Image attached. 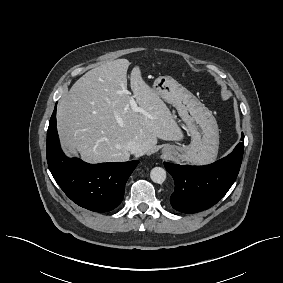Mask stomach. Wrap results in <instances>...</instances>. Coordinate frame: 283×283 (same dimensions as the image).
<instances>
[{"mask_svg": "<svg viewBox=\"0 0 283 283\" xmlns=\"http://www.w3.org/2000/svg\"><path fill=\"white\" fill-rule=\"evenodd\" d=\"M152 88L177 109L191 136L189 145H165L163 152L182 162L199 165L213 162L219 149V129L212 112L172 77L156 78Z\"/></svg>", "mask_w": 283, "mask_h": 283, "instance_id": "1", "label": "stomach"}]
</instances>
